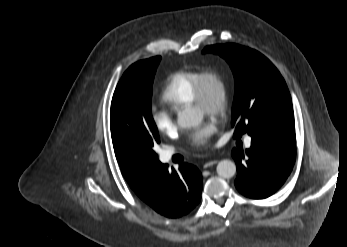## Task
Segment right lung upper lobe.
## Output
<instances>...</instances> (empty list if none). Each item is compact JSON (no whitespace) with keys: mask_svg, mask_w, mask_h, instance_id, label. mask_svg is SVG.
Listing matches in <instances>:
<instances>
[{"mask_svg":"<svg viewBox=\"0 0 347 247\" xmlns=\"http://www.w3.org/2000/svg\"><path fill=\"white\" fill-rule=\"evenodd\" d=\"M113 147L121 172L130 187L139 197L149 195L152 191L151 188L154 178L159 172L158 167L161 162L149 165L126 153L117 146L113 145Z\"/></svg>","mask_w":347,"mask_h":247,"instance_id":"cb5924a9","label":"right lung upper lobe"}]
</instances>
